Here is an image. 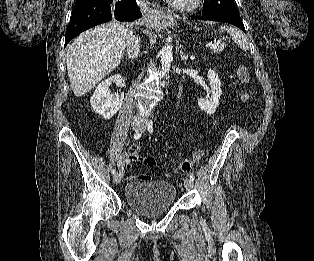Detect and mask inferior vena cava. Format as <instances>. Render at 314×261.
Instances as JSON below:
<instances>
[{
	"label": "inferior vena cava",
	"instance_id": "602c4592",
	"mask_svg": "<svg viewBox=\"0 0 314 261\" xmlns=\"http://www.w3.org/2000/svg\"><path fill=\"white\" fill-rule=\"evenodd\" d=\"M125 47L129 58H135L138 56L140 51L139 39L133 35L132 31L128 35Z\"/></svg>",
	"mask_w": 314,
	"mask_h": 261
}]
</instances>
